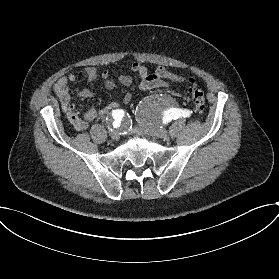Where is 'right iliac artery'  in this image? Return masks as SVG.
Wrapping results in <instances>:
<instances>
[{"instance_id":"obj_1","label":"right iliac artery","mask_w":279,"mask_h":279,"mask_svg":"<svg viewBox=\"0 0 279 279\" xmlns=\"http://www.w3.org/2000/svg\"><path fill=\"white\" fill-rule=\"evenodd\" d=\"M112 116L114 118L113 127L117 128L120 125L121 118L124 116L123 110H114L112 112Z\"/></svg>"}]
</instances>
